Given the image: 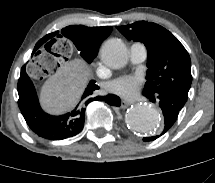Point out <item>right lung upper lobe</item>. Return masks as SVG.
Returning a JSON list of instances; mask_svg holds the SVG:
<instances>
[{"label": "right lung upper lobe", "instance_id": "right-lung-upper-lobe-1", "mask_svg": "<svg viewBox=\"0 0 215 183\" xmlns=\"http://www.w3.org/2000/svg\"><path fill=\"white\" fill-rule=\"evenodd\" d=\"M72 29V26L66 27L62 30V35L67 37L68 31ZM83 30L85 32V42L87 47L98 53L99 46L102 43V41L109 36V34L112 31V27L107 26V27H93V28H88L83 26ZM58 32L51 33L47 36H45L43 39H41L35 46L34 52L38 50V48L43 44L47 43L46 46L50 45L55 41L53 37L57 34ZM58 37H61V35H58ZM40 43H42L40 45Z\"/></svg>", "mask_w": 215, "mask_h": 183}]
</instances>
